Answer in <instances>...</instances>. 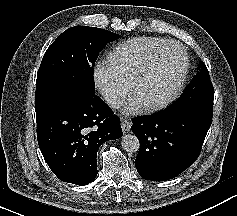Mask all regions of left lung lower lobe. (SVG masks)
I'll use <instances>...</instances> for the list:
<instances>
[{
	"label": "left lung lower lobe",
	"instance_id": "0a47b994",
	"mask_svg": "<svg viewBox=\"0 0 237 216\" xmlns=\"http://www.w3.org/2000/svg\"><path fill=\"white\" fill-rule=\"evenodd\" d=\"M212 117L187 109L170 108L132 120L140 150L135 167L146 180L172 179L199 156Z\"/></svg>",
	"mask_w": 237,
	"mask_h": 216
}]
</instances>
